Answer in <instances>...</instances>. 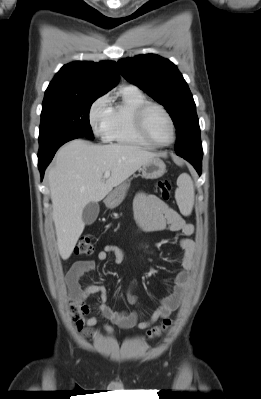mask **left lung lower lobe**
<instances>
[{
	"instance_id": "1",
	"label": "left lung lower lobe",
	"mask_w": 261,
	"mask_h": 399,
	"mask_svg": "<svg viewBox=\"0 0 261 399\" xmlns=\"http://www.w3.org/2000/svg\"><path fill=\"white\" fill-rule=\"evenodd\" d=\"M181 157H183L184 159H186L187 161H189L194 168L196 169V171L198 172L199 175H201V164H202V157L203 155H179Z\"/></svg>"
}]
</instances>
